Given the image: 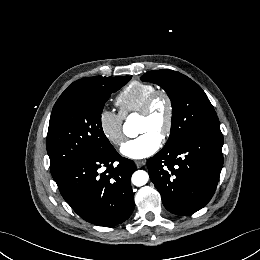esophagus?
<instances>
[{
  "label": "esophagus",
  "instance_id": "1",
  "mask_svg": "<svg viewBox=\"0 0 260 260\" xmlns=\"http://www.w3.org/2000/svg\"><path fill=\"white\" fill-rule=\"evenodd\" d=\"M135 164H136L137 168H141V167H143L146 163H145V161H143V160H136V161H135Z\"/></svg>",
  "mask_w": 260,
  "mask_h": 260
}]
</instances>
